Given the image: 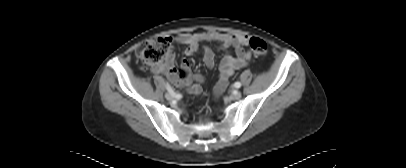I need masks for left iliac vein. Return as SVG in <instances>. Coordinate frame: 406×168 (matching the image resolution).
Returning <instances> with one entry per match:
<instances>
[{"label":"left iliac vein","mask_w":406,"mask_h":168,"mask_svg":"<svg viewBox=\"0 0 406 168\" xmlns=\"http://www.w3.org/2000/svg\"><path fill=\"white\" fill-rule=\"evenodd\" d=\"M241 96H242V94H241L240 91H234V92L232 93V95L230 96V98H231L232 100H238V99L241 98Z\"/></svg>","instance_id":"4c4485c4"}]
</instances>
